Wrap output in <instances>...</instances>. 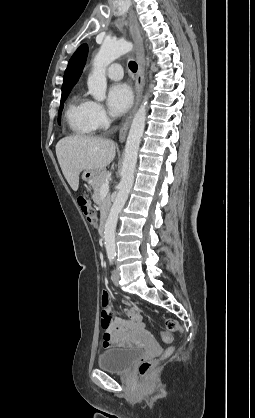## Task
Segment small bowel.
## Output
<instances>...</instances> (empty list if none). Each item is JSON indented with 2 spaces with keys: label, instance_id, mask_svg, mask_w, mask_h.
I'll list each match as a JSON object with an SVG mask.
<instances>
[{
  "label": "small bowel",
  "instance_id": "c3829d8e",
  "mask_svg": "<svg viewBox=\"0 0 255 418\" xmlns=\"http://www.w3.org/2000/svg\"><path fill=\"white\" fill-rule=\"evenodd\" d=\"M108 300L107 292L103 291L101 296L103 305L101 325L104 330V347H126L132 345L136 339L147 338L148 334L144 329L142 315L136 308L127 310L128 319L115 317L111 321L110 311L106 308ZM125 305H129V303L125 302Z\"/></svg>",
  "mask_w": 255,
  "mask_h": 418
}]
</instances>
